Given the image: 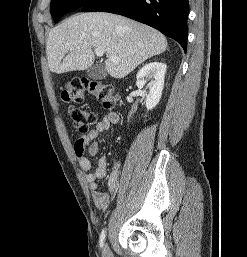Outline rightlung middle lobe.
I'll use <instances>...</instances> for the list:
<instances>
[{
	"label": "right lung middle lobe",
	"mask_w": 247,
	"mask_h": 257,
	"mask_svg": "<svg viewBox=\"0 0 247 257\" xmlns=\"http://www.w3.org/2000/svg\"><path fill=\"white\" fill-rule=\"evenodd\" d=\"M93 0H51L50 10L57 23L66 13L83 8Z\"/></svg>",
	"instance_id": "obj_1"
}]
</instances>
